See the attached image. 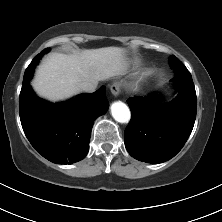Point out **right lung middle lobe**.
<instances>
[{
    "instance_id": "1",
    "label": "right lung middle lobe",
    "mask_w": 222,
    "mask_h": 222,
    "mask_svg": "<svg viewBox=\"0 0 222 222\" xmlns=\"http://www.w3.org/2000/svg\"><path fill=\"white\" fill-rule=\"evenodd\" d=\"M49 50H50V48H46L45 50H43L40 54H38V55L32 60V62L30 63V65L28 66V68H27L26 71H25L23 82H28V81L32 78L34 67L36 66V64L38 63V61L41 59V56H42L44 53L48 52Z\"/></svg>"
}]
</instances>
